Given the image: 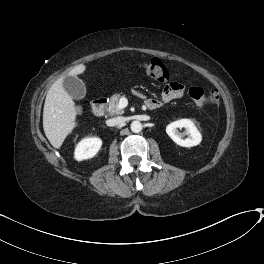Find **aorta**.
Returning a JSON list of instances; mask_svg holds the SVG:
<instances>
[{
    "mask_svg": "<svg viewBox=\"0 0 264 264\" xmlns=\"http://www.w3.org/2000/svg\"><path fill=\"white\" fill-rule=\"evenodd\" d=\"M131 131L134 133H139L142 130V124L139 121H133L130 125Z\"/></svg>",
    "mask_w": 264,
    "mask_h": 264,
    "instance_id": "1",
    "label": "aorta"
}]
</instances>
